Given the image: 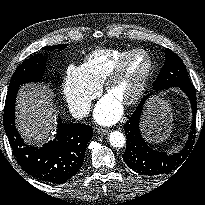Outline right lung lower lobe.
<instances>
[{"label": "right lung lower lobe", "mask_w": 205, "mask_h": 205, "mask_svg": "<svg viewBox=\"0 0 205 205\" xmlns=\"http://www.w3.org/2000/svg\"><path fill=\"white\" fill-rule=\"evenodd\" d=\"M18 89H8L3 123L19 165L38 181L50 184L66 182L80 170L93 129L84 124L63 123L59 118L55 139L40 148L26 145L15 127L14 108Z\"/></svg>", "instance_id": "obj_1"}]
</instances>
